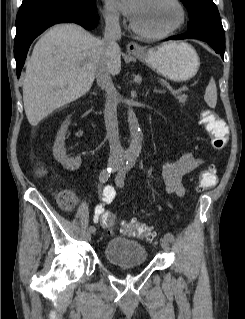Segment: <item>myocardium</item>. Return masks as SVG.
<instances>
[{
	"label": "myocardium",
	"mask_w": 245,
	"mask_h": 319,
	"mask_svg": "<svg viewBox=\"0 0 245 319\" xmlns=\"http://www.w3.org/2000/svg\"><path fill=\"white\" fill-rule=\"evenodd\" d=\"M170 1L176 6V8L178 9V12H179V19L173 27H171L165 31L153 33V32H147V31L140 29L133 21H131L130 22L131 29L139 36L146 38V39H150V40L163 39V38H166V37H169V36L175 34L185 24L186 11H185L183 4L180 2V0H170Z\"/></svg>",
	"instance_id": "obj_1"
}]
</instances>
